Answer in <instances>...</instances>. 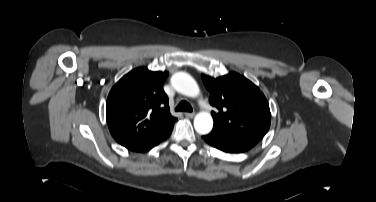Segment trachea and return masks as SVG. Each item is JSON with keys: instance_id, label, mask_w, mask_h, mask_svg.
Listing matches in <instances>:
<instances>
[{"instance_id": "3493384b", "label": "trachea", "mask_w": 376, "mask_h": 202, "mask_svg": "<svg viewBox=\"0 0 376 202\" xmlns=\"http://www.w3.org/2000/svg\"><path fill=\"white\" fill-rule=\"evenodd\" d=\"M175 110L176 111L192 112V107L187 101L183 100L177 105Z\"/></svg>"}]
</instances>
